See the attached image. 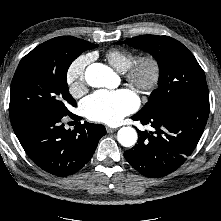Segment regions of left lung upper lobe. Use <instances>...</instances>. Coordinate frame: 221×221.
<instances>
[{"label": "left lung upper lobe", "mask_w": 221, "mask_h": 221, "mask_svg": "<svg viewBox=\"0 0 221 221\" xmlns=\"http://www.w3.org/2000/svg\"><path fill=\"white\" fill-rule=\"evenodd\" d=\"M125 43L150 53L159 65L158 88L139 112L156 113L185 101L209 105L204 71L181 42L168 36L141 35L128 38Z\"/></svg>", "instance_id": "1"}]
</instances>
